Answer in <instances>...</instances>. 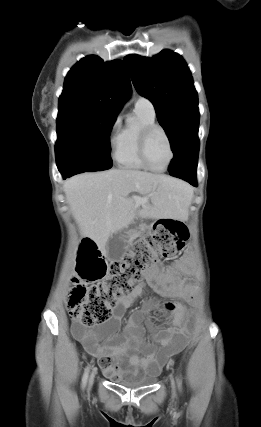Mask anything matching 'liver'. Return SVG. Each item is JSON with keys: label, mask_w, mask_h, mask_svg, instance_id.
<instances>
[{"label": "liver", "mask_w": 261, "mask_h": 427, "mask_svg": "<svg viewBox=\"0 0 261 427\" xmlns=\"http://www.w3.org/2000/svg\"><path fill=\"white\" fill-rule=\"evenodd\" d=\"M63 188L81 235L93 240L103 254L110 236L138 217L186 219L193 196L192 188L179 179L126 169L79 174ZM132 192L147 202L137 203L129 197Z\"/></svg>", "instance_id": "obj_1"}]
</instances>
